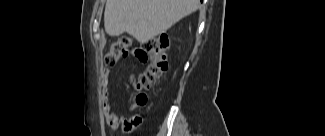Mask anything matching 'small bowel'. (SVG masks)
Listing matches in <instances>:
<instances>
[{"label": "small bowel", "instance_id": "c3829d8e", "mask_svg": "<svg viewBox=\"0 0 325 136\" xmlns=\"http://www.w3.org/2000/svg\"><path fill=\"white\" fill-rule=\"evenodd\" d=\"M130 50L133 51L134 58L136 60V63L138 64L139 68H144L145 64L147 63L148 59V54H147V49L145 44H131L130 45ZM109 76H110V70L108 68H105L102 71V85H103V95H102V108L104 112L105 119L108 123V125L112 129H118L119 127L124 128L125 130L129 131L135 126H137L141 121L142 118L140 116H132L129 118H123L120 117L112 108V105L109 100V95H108V84H109ZM128 79L129 80H134L135 79V74L134 73H129L128 74ZM142 95H139L140 97ZM145 97V102L140 103L136 99V104L137 106H144L147 102V97Z\"/></svg>", "mask_w": 325, "mask_h": 136}]
</instances>
